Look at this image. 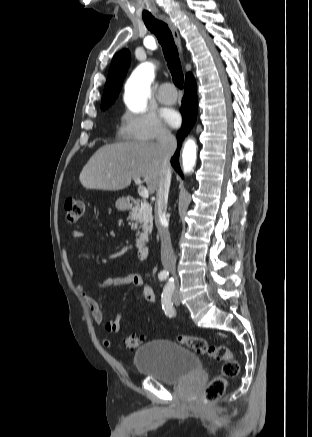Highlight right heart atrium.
<instances>
[{"label": "right heart atrium", "instance_id": "1", "mask_svg": "<svg viewBox=\"0 0 312 437\" xmlns=\"http://www.w3.org/2000/svg\"><path fill=\"white\" fill-rule=\"evenodd\" d=\"M120 139L148 142L169 139L171 134L154 112H124L117 128Z\"/></svg>", "mask_w": 312, "mask_h": 437}]
</instances>
